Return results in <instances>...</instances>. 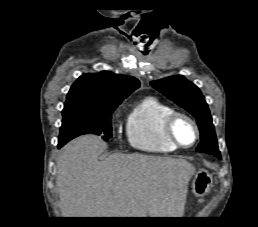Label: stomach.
Masks as SVG:
<instances>
[{"mask_svg": "<svg viewBox=\"0 0 258 227\" xmlns=\"http://www.w3.org/2000/svg\"><path fill=\"white\" fill-rule=\"evenodd\" d=\"M191 186L192 193L196 197H203L213 187V177L207 170L200 169L198 172H196Z\"/></svg>", "mask_w": 258, "mask_h": 227, "instance_id": "0dacf381", "label": "stomach"}]
</instances>
